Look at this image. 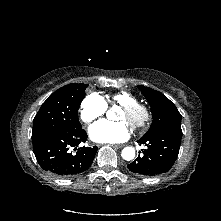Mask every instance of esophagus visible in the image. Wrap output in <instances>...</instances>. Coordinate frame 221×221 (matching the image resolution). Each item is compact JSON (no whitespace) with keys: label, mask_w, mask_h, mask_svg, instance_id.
I'll return each mask as SVG.
<instances>
[{"label":"esophagus","mask_w":221,"mask_h":221,"mask_svg":"<svg viewBox=\"0 0 221 221\" xmlns=\"http://www.w3.org/2000/svg\"><path fill=\"white\" fill-rule=\"evenodd\" d=\"M124 146H125V144H113L112 145L113 148H122Z\"/></svg>","instance_id":"34e87169"}]
</instances>
